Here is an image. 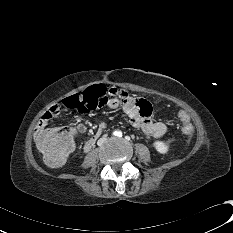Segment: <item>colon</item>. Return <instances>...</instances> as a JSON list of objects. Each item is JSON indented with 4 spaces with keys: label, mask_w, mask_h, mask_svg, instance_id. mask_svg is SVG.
Here are the masks:
<instances>
[{
    "label": "colon",
    "mask_w": 233,
    "mask_h": 233,
    "mask_svg": "<svg viewBox=\"0 0 233 233\" xmlns=\"http://www.w3.org/2000/svg\"><path fill=\"white\" fill-rule=\"evenodd\" d=\"M109 91L104 85L95 84L81 93L63 100L65 108L84 112L97 107L102 96ZM176 119L181 122L184 135L191 136L194 132L190 117L183 108L174 110ZM35 143L47 163L53 166L63 164L71 154L75 144V133L72 128L38 130Z\"/></svg>",
    "instance_id": "1"
}]
</instances>
